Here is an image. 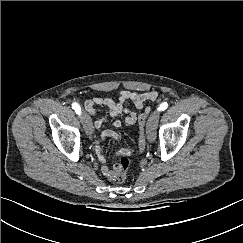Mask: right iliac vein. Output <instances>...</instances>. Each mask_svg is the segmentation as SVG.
I'll return each mask as SVG.
<instances>
[{
    "label": "right iliac vein",
    "mask_w": 243,
    "mask_h": 243,
    "mask_svg": "<svg viewBox=\"0 0 243 243\" xmlns=\"http://www.w3.org/2000/svg\"><path fill=\"white\" fill-rule=\"evenodd\" d=\"M81 122L86 134L88 135L89 138H91L93 133V126H92V121L87 113L85 112L82 113Z\"/></svg>",
    "instance_id": "1"
}]
</instances>
